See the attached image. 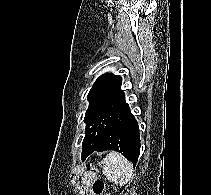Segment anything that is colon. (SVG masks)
I'll use <instances>...</instances> for the list:
<instances>
[{
    "mask_svg": "<svg viewBox=\"0 0 211 195\" xmlns=\"http://www.w3.org/2000/svg\"><path fill=\"white\" fill-rule=\"evenodd\" d=\"M92 188L94 190V192L98 195L102 194L105 188V185L102 181L100 180H96L93 185Z\"/></svg>",
    "mask_w": 211,
    "mask_h": 195,
    "instance_id": "1",
    "label": "colon"
}]
</instances>
